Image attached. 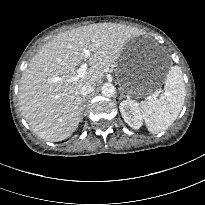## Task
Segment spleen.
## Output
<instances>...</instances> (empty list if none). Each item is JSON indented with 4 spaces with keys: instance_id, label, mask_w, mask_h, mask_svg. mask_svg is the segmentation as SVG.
<instances>
[{
    "instance_id": "spleen-1",
    "label": "spleen",
    "mask_w": 205,
    "mask_h": 205,
    "mask_svg": "<svg viewBox=\"0 0 205 205\" xmlns=\"http://www.w3.org/2000/svg\"><path fill=\"white\" fill-rule=\"evenodd\" d=\"M185 96L182 70L179 66H173L167 74L163 93L149 96L141 104V114L148 131L157 134L168 129L179 116Z\"/></svg>"
}]
</instances>
